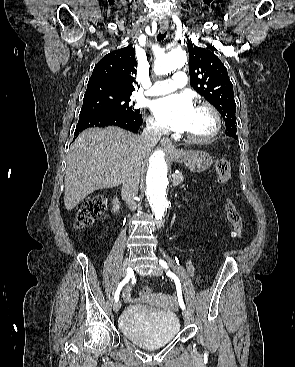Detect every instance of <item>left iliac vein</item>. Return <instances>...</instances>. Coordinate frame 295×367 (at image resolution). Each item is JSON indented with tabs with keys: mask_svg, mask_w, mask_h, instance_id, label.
Returning <instances> with one entry per match:
<instances>
[{
	"mask_svg": "<svg viewBox=\"0 0 295 367\" xmlns=\"http://www.w3.org/2000/svg\"><path fill=\"white\" fill-rule=\"evenodd\" d=\"M152 274L154 276H160L162 274V268L159 265H155V267L152 270ZM182 316H183L184 321L187 324H189L190 320H191L190 313L187 310L184 309L183 312H182Z\"/></svg>",
	"mask_w": 295,
	"mask_h": 367,
	"instance_id": "4c4485c4",
	"label": "left iliac vein"
}]
</instances>
